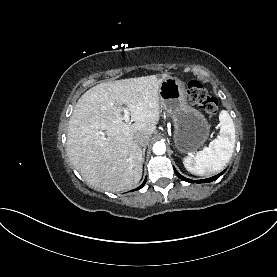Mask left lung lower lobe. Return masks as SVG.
Returning <instances> with one entry per match:
<instances>
[{
	"label": "left lung lower lobe",
	"instance_id": "left-lung-lower-lobe-1",
	"mask_svg": "<svg viewBox=\"0 0 277 277\" xmlns=\"http://www.w3.org/2000/svg\"><path fill=\"white\" fill-rule=\"evenodd\" d=\"M174 171H175L176 175H177L179 178H181L182 180L187 181V182H190V183H195L194 180L185 178V177H183L182 175H180V174L178 173V171H177L175 168H174ZM225 171H226V170H224V171L221 172L220 174H218V175H216V176H213V177H211V178H207V179H204V180H197L196 183L212 182V181L216 180L217 178H219Z\"/></svg>",
	"mask_w": 277,
	"mask_h": 277
}]
</instances>
